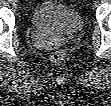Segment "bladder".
<instances>
[{
    "mask_svg": "<svg viewBox=\"0 0 111 106\" xmlns=\"http://www.w3.org/2000/svg\"><path fill=\"white\" fill-rule=\"evenodd\" d=\"M32 24L38 29L60 34H73L83 27L80 13L54 1H44L32 12Z\"/></svg>",
    "mask_w": 111,
    "mask_h": 106,
    "instance_id": "bladder-1",
    "label": "bladder"
}]
</instances>
